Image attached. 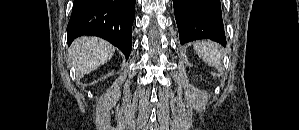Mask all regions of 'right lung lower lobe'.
I'll use <instances>...</instances> for the list:
<instances>
[{
    "instance_id": "right-lung-lower-lobe-1",
    "label": "right lung lower lobe",
    "mask_w": 299,
    "mask_h": 130,
    "mask_svg": "<svg viewBox=\"0 0 299 130\" xmlns=\"http://www.w3.org/2000/svg\"><path fill=\"white\" fill-rule=\"evenodd\" d=\"M136 0H74L67 26L68 44L81 35L101 37L128 59Z\"/></svg>"
}]
</instances>
